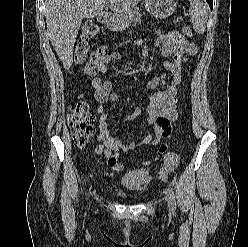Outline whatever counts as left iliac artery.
I'll return each instance as SVG.
<instances>
[{
	"instance_id": "left-iliac-artery-1",
	"label": "left iliac artery",
	"mask_w": 248,
	"mask_h": 247,
	"mask_svg": "<svg viewBox=\"0 0 248 247\" xmlns=\"http://www.w3.org/2000/svg\"><path fill=\"white\" fill-rule=\"evenodd\" d=\"M170 199H171V209L174 212L176 209V200H175V195L172 189H170Z\"/></svg>"
}]
</instances>
